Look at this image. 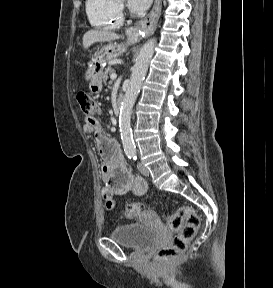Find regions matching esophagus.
<instances>
[{"instance_id": "34e87169", "label": "esophagus", "mask_w": 273, "mask_h": 288, "mask_svg": "<svg viewBox=\"0 0 273 288\" xmlns=\"http://www.w3.org/2000/svg\"><path fill=\"white\" fill-rule=\"evenodd\" d=\"M161 7V0H155L154 5L147 17L137 22L134 26L129 27L126 30L127 35L132 39L137 40L140 38L142 32L146 34L152 33L159 20Z\"/></svg>"}]
</instances>
